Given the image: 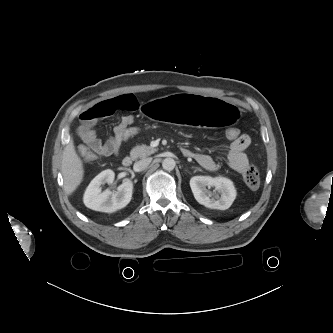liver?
Masks as SVG:
<instances>
[{
	"mask_svg": "<svg viewBox=\"0 0 333 333\" xmlns=\"http://www.w3.org/2000/svg\"><path fill=\"white\" fill-rule=\"evenodd\" d=\"M62 174L64 188L69 194L74 192L83 180V163L75 151L72 140L69 141L63 152Z\"/></svg>",
	"mask_w": 333,
	"mask_h": 333,
	"instance_id": "liver-1",
	"label": "liver"
}]
</instances>
